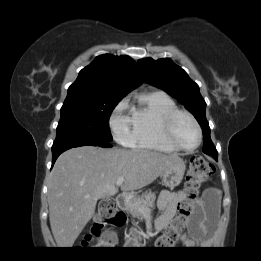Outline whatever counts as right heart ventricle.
I'll list each match as a JSON object with an SVG mask.
<instances>
[{
	"label": "right heart ventricle",
	"instance_id": "e07e8e85",
	"mask_svg": "<svg viewBox=\"0 0 261 261\" xmlns=\"http://www.w3.org/2000/svg\"><path fill=\"white\" fill-rule=\"evenodd\" d=\"M177 109L174 100L163 91L142 93L136 103L129 106L131 135L128 145L150 151L176 152L164 136L163 121Z\"/></svg>",
	"mask_w": 261,
	"mask_h": 261
}]
</instances>
